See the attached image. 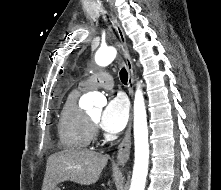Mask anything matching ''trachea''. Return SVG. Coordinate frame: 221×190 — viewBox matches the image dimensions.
Returning <instances> with one entry per match:
<instances>
[{"instance_id":"3493384b","label":"trachea","mask_w":221,"mask_h":190,"mask_svg":"<svg viewBox=\"0 0 221 190\" xmlns=\"http://www.w3.org/2000/svg\"><path fill=\"white\" fill-rule=\"evenodd\" d=\"M120 79L123 84H127L128 81V73L125 68H122L120 71Z\"/></svg>"}]
</instances>
